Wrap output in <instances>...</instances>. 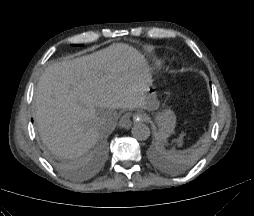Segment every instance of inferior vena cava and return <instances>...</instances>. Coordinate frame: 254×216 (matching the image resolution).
Listing matches in <instances>:
<instances>
[{"label": "inferior vena cava", "instance_id": "inferior-vena-cava-1", "mask_svg": "<svg viewBox=\"0 0 254 216\" xmlns=\"http://www.w3.org/2000/svg\"><path fill=\"white\" fill-rule=\"evenodd\" d=\"M98 122L100 123V122H102V120H101V119H99V120H98Z\"/></svg>", "mask_w": 254, "mask_h": 216}]
</instances>
